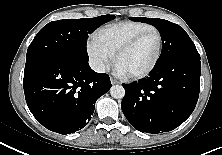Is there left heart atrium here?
<instances>
[{
  "mask_svg": "<svg viewBox=\"0 0 222 155\" xmlns=\"http://www.w3.org/2000/svg\"><path fill=\"white\" fill-rule=\"evenodd\" d=\"M115 70H116V73H117L118 75H120V76H126V75H128V73H127V71L125 70V68H124L121 64H119L118 62H117V64H116V66H115Z\"/></svg>",
  "mask_w": 222,
  "mask_h": 155,
  "instance_id": "obj_1",
  "label": "left heart atrium"
}]
</instances>
